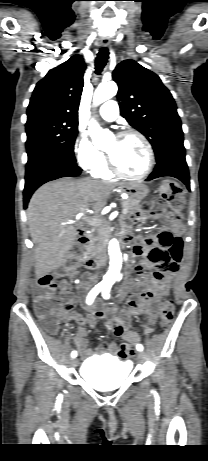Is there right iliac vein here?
Listing matches in <instances>:
<instances>
[{"label": "right iliac vein", "mask_w": 208, "mask_h": 461, "mask_svg": "<svg viewBox=\"0 0 208 461\" xmlns=\"http://www.w3.org/2000/svg\"><path fill=\"white\" fill-rule=\"evenodd\" d=\"M78 363H79V362H78V359H77V358H73V359H71V361H70V364H71L72 367H77V366H78Z\"/></svg>", "instance_id": "63e3f726"}]
</instances>
